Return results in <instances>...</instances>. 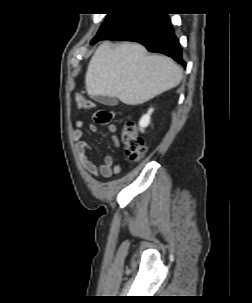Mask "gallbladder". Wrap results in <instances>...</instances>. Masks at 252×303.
<instances>
[{"label": "gallbladder", "mask_w": 252, "mask_h": 303, "mask_svg": "<svg viewBox=\"0 0 252 303\" xmlns=\"http://www.w3.org/2000/svg\"><path fill=\"white\" fill-rule=\"evenodd\" d=\"M98 103L107 105V106H116L118 105V99L116 97H108V96H94L93 98Z\"/></svg>", "instance_id": "1"}]
</instances>
